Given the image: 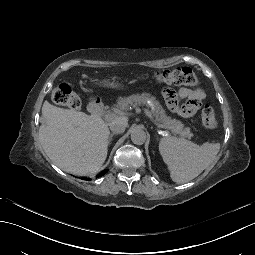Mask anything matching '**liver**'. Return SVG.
<instances>
[{
  "label": "liver",
  "instance_id": "liver-1",
  "mask_svg": "<svg viewBox=\"0 0 255 255\" xmlns=\"http://www.w3.org/2000/svg\"><path fill=\"white\" fill-rule=\"evenodd\" d=\"M105 80V86H113ZM39 139L47 157L60 169L76 175L97 172L105 163L111 141L109 125L121 120L128 127L129 116L121 114L108 123L81 111L42 106Z\"/></svg>",
  "mask_w": 255,
  "mask_h": 255
}]
</instances>
